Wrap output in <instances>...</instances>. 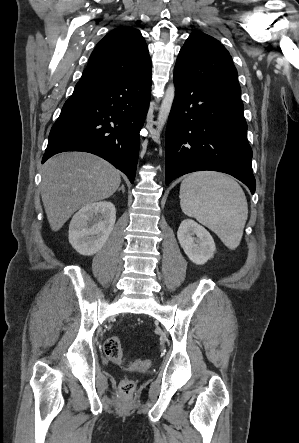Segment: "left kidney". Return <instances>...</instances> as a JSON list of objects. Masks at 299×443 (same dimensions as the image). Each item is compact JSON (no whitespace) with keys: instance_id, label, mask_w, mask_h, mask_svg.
<instances>
[{"instance_id":"obj_1","label":"left kidney","mask_w":299,"mask_h":443,"mask_svg":"<svg viewBox=\"0 0 299 443\" xmlns=\"http://www.w3.org/2000/svg\"><path fill=\"white\" fill-rule=\"evenodd\" d=\"M177 238L188 258L197 265L213 257L215 243L211 234L193 220H183L178 228Z\"/></svg>"}]
</instances>
